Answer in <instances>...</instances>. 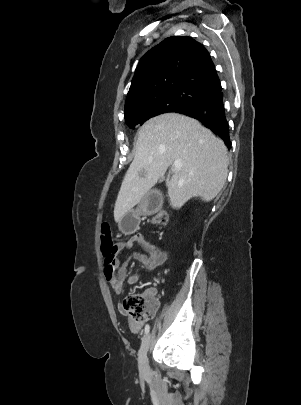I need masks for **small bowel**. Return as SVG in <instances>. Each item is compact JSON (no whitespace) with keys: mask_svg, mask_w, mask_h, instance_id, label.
<instances>
[{"mask_svg":"<svg viewBox=\"0 0 301 405\" xmlns=\"http://www.w3.org/2000/svg\"><path fill=\"white\" fill-rule=\"evenodd\" d=\"M136 245L140 246L142 251L135 250ZM115 247L117 254L125 252L126 255L124 258L114 256L111 264H105L104 275L116 295L123 292L125 284H134L139 280L137 274L127 272V266L131 259H135L148 270L155 269L167 259L162 248L148 241L142 233L134 234L128 240L118 242ZM146 294L154 297L156 289L150 288ZM119 310L124 312L122 307H119Z\"/></svg>","mask_w":301,"mask_h":405,"instance_id":"c3829d8e","label":"small bowel"}]
</instances>
